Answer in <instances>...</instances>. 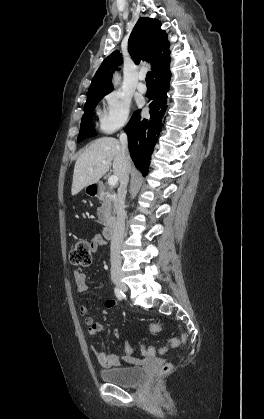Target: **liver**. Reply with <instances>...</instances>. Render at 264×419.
Returning a JSON list of instances; mask_svg holds the SVG:
<instances>
[{"instance_id": "6515ba94", "label": "liver", "mask_w": 264, "mask_h": 419, "mask_svg": "<svg viewBox=\"0 0 264 419\" xmlns=\"http://www.w3.org/2000/svg\"><path fill=\"white\" fill-rule=\"evenodd\" d=\"M112 161L113 173L121 182L123 158L120 142L115 138L102 137L90 143L75 163L71 194L74 196L83 188L97 183L109 171Z\"/></svg>"}]
</instances>
